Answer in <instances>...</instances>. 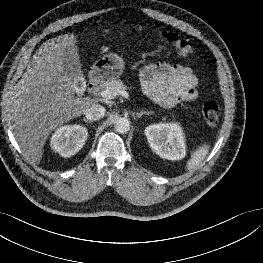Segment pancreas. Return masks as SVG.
<instances>
[{
	"instance_id": "1",
	"label": "pancreas",
	"mask_w": 263,
	"mask_h": 263,
	"mask_svg": "<svg viewBox=\"0 0 263 263\" xmlns=\"http://www.w3.org/2000/svg\"><path fill=\"white\" fill-rule=\"evenodd\" d=\"M103 90L110 89V90H126L127 87L120 79L109 80L105 82L102 86Z\"/></svg>"
}]
</instances>
